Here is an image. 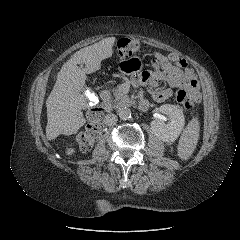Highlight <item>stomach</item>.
<instances>
[{"label":"stomach","mask_w":240,"mask_h":240,"mask_svg":"<svg viewBox=\"0 0 240 240\" xmlns=\"http://www.w3.org/2000/svg\"><path fill=\"white\" fill-rule=\"evenodd\" d=\"M118 69L120 72L130 75L143 69V61L138 56L122 59L118 64Z\"/></svg>","instance_id":"0dacf381"}]
</instances>
